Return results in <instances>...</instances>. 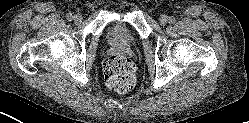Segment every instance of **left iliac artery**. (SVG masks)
Segmentation results:
<instances>
[{
    "instance_id": "1",
    "label": "left iliac artery",
    "mask_w": 249,
    "mask_h": 123,
    "mask_svg": "<svg viewBox=\"0 0 249 123\" xmlns=\"http://www.w3.org/2000/svg\"><path fill=\"white\" fill-rule=\"evenodd\" d=\"M168 22H169L170 24L175 23V18H174L173 16H170V17L168 18Z\"/></svg>"
}]
</instances>
